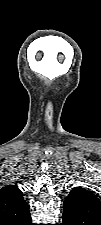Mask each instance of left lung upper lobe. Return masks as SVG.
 <instances>
[{
  "label": "left lung upper lobe",
  "instance_id": "1",
  "mask_svg": "<svg viewBox=\"0 0 101 225\" xmlns=\"http://www.w3.org/2000/svg\"><path fill=\"white\" fill-rule=\"evenodd\" d=\"M64 210L101 220V201L92 192L81 187L70 191L64 201Z\"/></svg>",
  "mask_w": 101,
  "mask_h": 225
}]
</instances>
